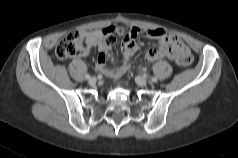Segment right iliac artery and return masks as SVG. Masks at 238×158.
Wrapping results in <instances>:
<instances>
[{
	"label": "right iliac artery",
	"instance_id": "right-iliac-artery-1",
	"mask_svg": "<svg viewBox=\"0 0 238 158\" xmlns=\"http://www.w3.org/2000/svg\"><path fill=\"white\" fill-rule=\"evenodd\" d=\"M85 78H86V79H90V75H89V74H86V75H85Z\"/></svg>",
	"mask_w": 238,
	"mask_h": 158
}]
</instances>
